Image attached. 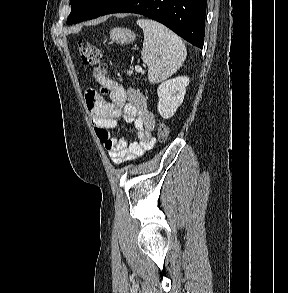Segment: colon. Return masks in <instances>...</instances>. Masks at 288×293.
Returning a JSON list of instances; mask_svg holds the SVG:
<instances>
[{"label":"colon","instance_id":"obj_1","mask_svg":"<svg viewBox=\"0 0 288 293\" xmlns=\"http://www.w3.org/2000/svg\"><path fill=\"white\" fill-rule=\"evenodd\" d=\"M78 46L82 62L86 65L95 66L96 76H103L105 74V65L102 62L100 49L95 44L86 40H80ZM102 92H108L107 88L103 87ZM157 136L160 143H164L168 139L169 129L164 122L158 124Z\"/></svg>","mask_w":288,"mask_h":293}]
</instances>
